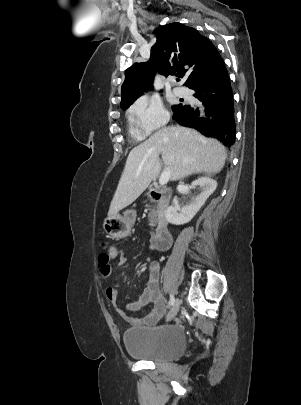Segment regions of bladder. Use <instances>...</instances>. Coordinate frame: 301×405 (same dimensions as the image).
Masks as SVG:
<instances>
[{"label": "bladder", "mask_w": 301, "mask_h": 405, "mask_svg": "<svg viewBox=\"0 0 301 405\" xmlns=\"http://www.w3.org/2000/svg\"><path fill=\"white\" fill-rule=\"evenodd\" d=\"M123 343L132 357L154 362L175 360L187 346L186 335L177 325L129 328L123 334Z\"/></svg>", "instance_id": "obj_1"}]
</instances>
